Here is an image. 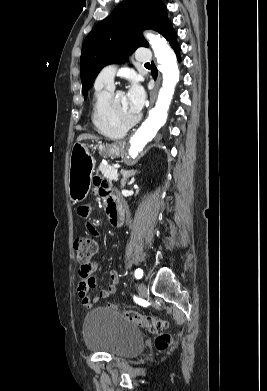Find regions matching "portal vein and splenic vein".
Masks as SVG:
<instances>
[{
  "instance_id": "portal-vein-and-splenic-vein-1",
  "label": "portal vein and splenic vein",
  "mask_w": 267,
  "mask_h": 391,
  "mask_svg": "<svg viewBox=\"0 0 267 391\" xmlns=\"http://www.w3.org/2000/svg\"><path fill=\"white\" fill-rule=\"evenodd\" d=\"M119 167H120L119 165H114V168H115V169H117V168H119Z\"/></svg>"
}]
</instances>
